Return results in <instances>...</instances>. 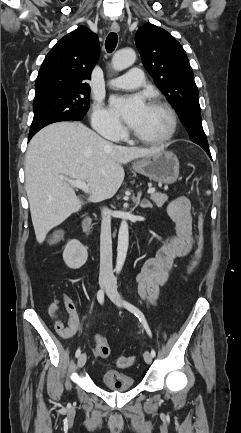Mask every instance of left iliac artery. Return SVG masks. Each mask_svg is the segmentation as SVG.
<instances>
[{
	"label": "left iliac artery",
	"mask_w": 241,
	"mask_h": 433,
	"mask_svg": "<svg viewBox=\"0 0 241 433\" xmlns=\"http://www.w3.org/2000/svg\"><path fill=\"white\" fill-rule=\"evenodd\" d=\"M124 306H125V307L130 311V312L134 313L135 316H137V317L139 318V320H140V322L142 323L143 327L145 328L147 334H148L150 337H152L151 330H150V328H149V326H148V323H147V321H146V319H145L144 314H143V313H142V312H141L137 307H135L133 304H131V303L127 302V301H124ZM155 355H156V352H155L154 349H152V350H151V356H152V357H155Z\"/></svg>",
	"instance_id": "obj_1"
}]
</instances>
